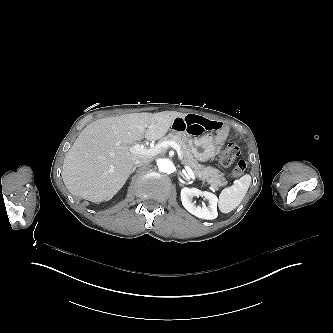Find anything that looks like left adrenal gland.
I'll return each mask as SVG.
<instances>
[{"instance_id":"left-adrenal-gland-1","label":"left adrenal gland","mask_w":333,"mask_h":333,"mask_svg":"<svg viewBox=\"0 0 333 333\" xmlns=\"http://www.w3.org/2000/svg\"><path fill=\"white\" fill-rule=\"evenodd\" d=\"M179 175H180L184 180L188 181L187 178L184 176V174L181 172V170H179Z\"/></svg>"}]
</instances>
